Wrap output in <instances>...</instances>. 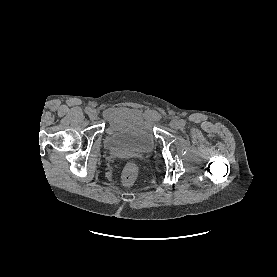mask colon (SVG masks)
Returning a JSON list of instances; mask_svg holds the SVG:
<instances>
[{"label":"colon","instance_id":"colon-1","mask_svg":"<svg viewBox=\"0 0 277 277\" xmlns=\"http://www.w3.org/2000/svg\"><path fill=\"white\" fill-rule=\"evenodd\" d=\"M138 168L135 163L129 162L125 165L121 174V183L125 186L132 185L137 178Z\"/></svg>","mask_w":277,"mask_h":277}]
</instances>
